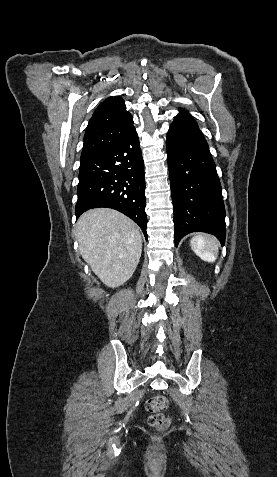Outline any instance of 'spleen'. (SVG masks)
<instances>
[{
	"label": "spleen",
	"instance_id": "obj_1",
	"mask_svg": "<svg viewBox=\"0 0 277 477\" xmlns=\"http://www.w3.org/2000/svg\"><path fill=\"white\" fill-rule=\"evenodd\" d=\"M190 245L195 254L204 261L214 262L218 256V245L213 238L198 235L191 239Z\"/></svg>",
	"mask_w": 277,
	"mask_h": 477
}]
</instances>
